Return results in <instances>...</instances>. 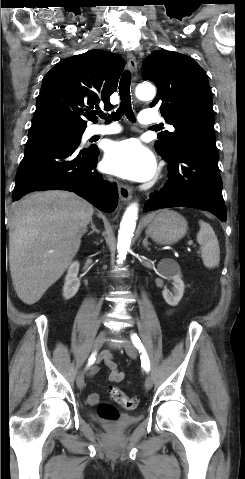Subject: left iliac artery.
Returning <instances> with one entry per match:
<instances>
[{
	"label": "left iliac artery",
	"instance_id": "44dca946",
	"mask_svg": "<svg viewBox=\"0 0 245 479\" xmlns=\"http://www.w3.org/2000/svg\"><path fill=\"white\" fill-rule=\"evenodd\" d=\"M131 340L134 346L139 350V353H141L140 358H141L142 366L144 367L146 371H149L150 361L140 338L137 336V334L134 333V334H131Z\"/></svg>",
	"mask_w": 245,
	"mask_h": 479
}]
</instances>
